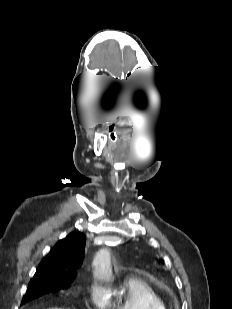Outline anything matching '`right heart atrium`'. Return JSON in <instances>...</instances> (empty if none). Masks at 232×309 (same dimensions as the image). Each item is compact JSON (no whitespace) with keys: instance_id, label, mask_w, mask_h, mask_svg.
Here are the masks:
<instances>
[{"instance_id":"1","label":"right heart atrium","mask_w":232,"mask_h":309,"mask_svg":"<svg viewBox=\"0 0 232 309\" xmlns=\"http://www.w3.org/2000/svg\"><path fill=\"white\" fill-rule=\"evenodd\" d=\"M91 298L94 303L100 307H104L107 301V292L100 284L93 283L90 289Z\"/></svg>"}]
</instances>
